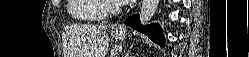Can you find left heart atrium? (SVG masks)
Segmentation results:
<instances>
[{"label":"left heart atrium","mask_w":249,"mask_h":57,"mask_svg":"<svg viewBox=\"0 0 249 57\" xmlns=\"http://www.w3.org/2000/svg\"><path fill=\"white\" fill-rule=\"evenodd\" d=\"M116 2L119 4H128L130 2H133V0H117Z\"/></svg>","instance_id":"39dd6f15"}]
</instances>
